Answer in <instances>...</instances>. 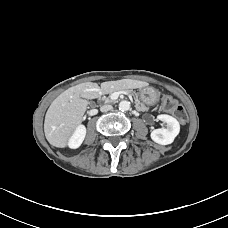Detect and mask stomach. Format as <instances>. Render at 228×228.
Listing matches in <instances>:
<instances>
[{
	"mask_svg": "<svg viewBox=\"0 0 228 228\" xmlns=\"http://www.w3.org/2000/svg\"><path fill=\"white\" fill-rule=\"evenodd\" d=\"M160 94L153 87L146 86L139 89V98L146 105H154L159 101Z\"/></svg>",
	"mask_w": 228,
	"mask_h": 228,
	"instance_id": "0dacf381",
	"label": "stomach"
}]
</instances>
